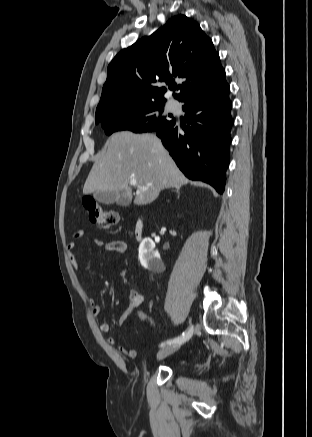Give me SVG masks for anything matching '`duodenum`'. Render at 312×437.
Returning a JSON list of instances; mask_svg holds the SVG:
<instances>
[{
  "instance_id": "1",
  "label": "duodenum",
  "mask_w": 312,
  "mask_h": 437,
  "mask_svg": "<svg viewBox=\"0 0 312 437\" xmlns=\"http://www.w3.org/2000/svg\"><path fill=\"white\" fill-rule=\"evenodd\" d=\"M145 231V223L143 220H138L135 227V236L137 240H142Z\"/></svg>"
}]
</instances>
